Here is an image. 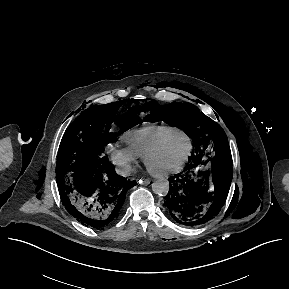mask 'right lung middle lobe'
<instances>
[{
  "mask_svg": "<svg viewBox=\"0 0 289 289\" xmlns=\"http://www.w3.org/2000/svg\"><path fill=\"white\" fill-rule=\"evenodd\" d=\"M125 101L133 102L135 106L128 110L118 136L141 122L137 117L140 107L135 99L90 107L69 126L58 152L56 164L58 185L65 184L80 165L104 156V145L115 137V134L110 132V126L114 121L116 110Z\"/></svg>",
  "mask_w": 289,
  "mask_h": 289,
  "instance_id": "1",
  "label": "right lung middle lobe"
}]
</instances>
